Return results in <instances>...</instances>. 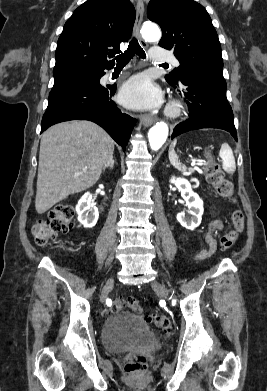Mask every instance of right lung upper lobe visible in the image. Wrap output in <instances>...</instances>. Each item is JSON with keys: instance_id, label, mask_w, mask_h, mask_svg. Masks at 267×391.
Wrapping results in <instances>:
<instances>
[{"instance_id": "cb5924a9", "label": "right lung upper lobe", "mask_w": 267, "mask_h": 391, "mask_svg": "<svg viewBox=\"0 0 267 391\" xmlns=\"http://www.w3.org/2000/svg\"><path fill=\"white\" fill-rule=\"evenodd\" d=\"M136 12L129 0H88L65 23L55 52L54 77L111 68L108 59L129 40Z\"/></svg>"}]
</instances>
